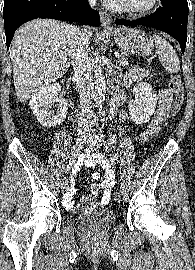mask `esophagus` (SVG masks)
Returning <instances> with one entry per match:
<instances>
[{
	"label": "esophagus",
	"instance_id": "esophagus-1",
	"mask_svg": "<svg viewBox=\"0 0 195 270\" xmlns=\"http://www.w3.org/2000/svg\"><path fill=\"white\" fill-rule=\"evenodd\" d=\"M100 18H101L102 26L104 28L110 29L111 28V23H112L111 16L107 12L101 11L100 12Z\"/></svg>",
	"mask_w": 195,
	"mask_h": 270
}]
</instances>
